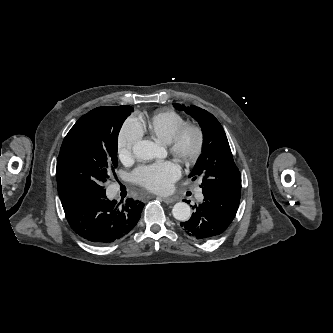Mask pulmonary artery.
Wrapping results in <instances>:
<instances>
[{"label":"pulmonary artery","instance_id":"pulmonary-artery-1","mask_svg":"<svg viewBox=\"0 0 333 333\" xmlns=\"http://www.w3.org/2000/svg\"><path fill=\"white\" fill-rule=\"evenodd\" d=\"M196 198H197L199 201H201V200L203 199V195H202L201 193H198V194L196 195Z\"/></svg>","mask_w":333,"mask_h":333}]
</instances>
